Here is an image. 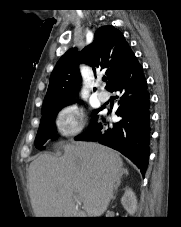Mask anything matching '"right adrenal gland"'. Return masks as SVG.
Segmentation results:
<instances>
[{
	"label": "right adrenal gland",
	"mask_w": 181,
	"mask_h": 227,
	"mask_svg": "<svg viewBox=\"0 0 181 227\" xmlns=\"http://www.w3.org/2000/svg\"><path fill=\"white\" fill-rule=\"evenodd\" d=\"M125 175H128L129 173H128V170L126 169V168H123V171H122ZM120 184H121V180L119 179L117 182H116V184H115V192H117V190H118V187L120 186ZM115 198V197H114ZM113 198V199H114Z\"/></svg>",
	"instance_id": "2a0ac1e0"
}]
</instances>
